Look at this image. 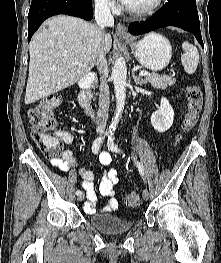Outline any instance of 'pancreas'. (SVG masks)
<instances>
[{"mask_svg":"<svg viewBox=\"0 0 221 263\" xmlns=\"http://www.w3.org/2000/svg\"><path fill=\"white\" fill-rule=\"evenodd\" d=\"M146 82H149L154 88L165 89L176 83V79L168 75L158 76V75H147L145 76Z\"/></svg>","mask_w":221,"mask_h":263,"instance_id":"obj_1","label":"pancreas"}]
</instances>
